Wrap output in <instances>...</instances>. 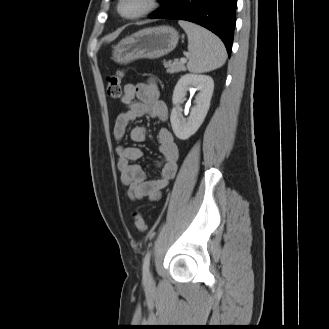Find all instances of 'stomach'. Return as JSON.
Returning a JSON list of instances; mask_svg holds the SVG:
<instances>
[{
	"label": "stomach",
	"mask_w": 329,
	"mask_h": 329,
	"mask_svg": "<svg viewBox=\"0 0 329 329\" xmlns=\"http://www.w3.org/2000/svg\"><path fill=\"white\" fill-rule=\"evenodd\" d=\"M179 40L178 32L169 26L140 30L113 47L112 59L128 63L140 58L156 59L170 53Z\"/></svg>",
	"instance_id": "1"
}]
</instances>
